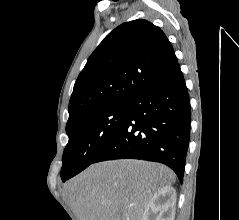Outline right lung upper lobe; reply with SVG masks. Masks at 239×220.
<instances>
[{
	"label": "right lung upper lobe",
	"instance_id": "right-lung-upper-lobe-1",
	"mask_svg": "<svg viewBox=\"0 0 239 220\" xmlns=\"http://www.w3.org/2000/svg\"><path fill=\"white\" fill-rule=\"evenodd\" d=\"M176 64L172 45L159 27L146 20L118 26L102 40L78 76L67 125L90 112L128 103Z\"/></svg>",
	"mask_w": 239,
	"mask_h": 220
}]
</instances>
